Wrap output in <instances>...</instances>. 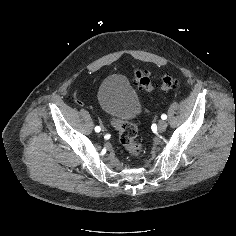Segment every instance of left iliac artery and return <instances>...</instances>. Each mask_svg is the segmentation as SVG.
Masks as SVG:
<instances>
[{
  "mask_svg": "<svg viewBox=\"0 0 236 236\" xmlns=\"http://www.w3.org/2000/svg\"><path fill=\"white\" fill-rule=\"evenodd\" d=\"M161 118H162L163 120H165V119H167V115H166V114H162V115H161Z\"/></svg>",
  "mask_w": 236,
  "mask_h": 236,
  "instance_id": "left-iliac-artery-1",
  "label": "left iliac artery"
}]
</instances>
